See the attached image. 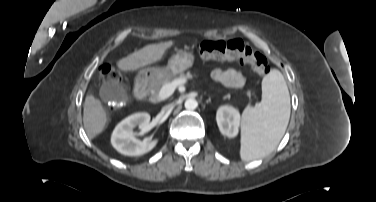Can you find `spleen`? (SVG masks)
Here are the masks:
<instances>
[{
    "label": "spleen",
    "instance_id": "1",
    "mask_svg": "<svg viewBox=\"0 0 376 202\" xmlns=\"http://www.w3.org/2000/svg\"><path fill=\"white\" fill-rule=\"evenodd\" d=\"M290 118V95L282 73L273 69L262 80V100L246 108L241 121L243 161L264 157L282 139Z\"/></svg>",
    "mask_w": 376,
    "mask_h": 202
}]
</instances>
